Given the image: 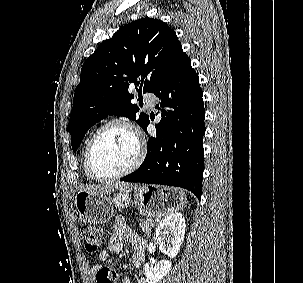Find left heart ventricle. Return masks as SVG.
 <instances>
[{
    "label": "left heart ventricle",
    "mask_w": 303,
    "mask_h": 283,
    "mask_svg": "<svg viewBox=\"0 0 303 283\" xmlns=\"http://www.w3.org/2000/svg\"><path fill=\"white\" fill-rule=\"evenodd\" d=\"M137 144L133 135L121 126H111L97 139L92 163L100 175H111L122 171L134 160Z\"/></svg>",
    "instance_id": "1"
}]
</instances>
